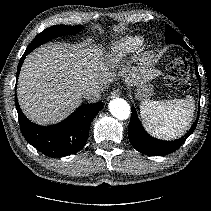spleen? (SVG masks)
<instances>
[{
	"instance_id": "1",
	"label": "spleen",
	"mask_w": 211,
	"mask_h": 211,
	"mask_svg": "<svg viewBox=\"0 0 211 211\" xmlns=\"http://www.w3.org/2000/svg\"><path fill=\"white\" fill-rule=\"evenodd\" d=\"M194 106L191 96L168 101L144 100L140 105V114L149 133L171 140L187 131L193 119Z\"/></svg>"
}]
</instances>
